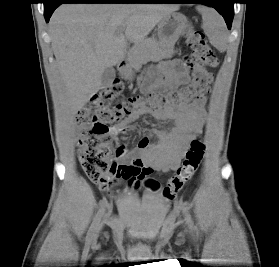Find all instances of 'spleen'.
<instances>
[{"instance_id": "spleen-1", "label": "spleen", "mask_w": 279, "mask_h": 267, "mask_svg": "<svg viewBox=\"0 0 279 267\" xmlns=\"http://www.w3.org/2000/svg\"><path fill=\"white\" fill-rule=\"evenodd\" d=\"M197 10L202 15L203 29L210 43L219 50H223L227 40L225 24L220 15L212 8L198 6Z\"/></svg>"}]
</instances>
